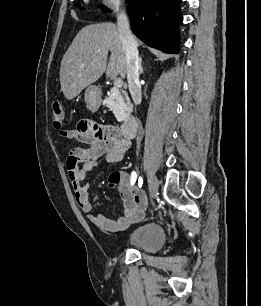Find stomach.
Masks as SVG:
<instances>
[{
    "label": "stomach",
    "mask_w": 261,
    "mask_h": 306,
    "mask_svg": "<svg viewBox=\"0 0 261 306\" xmlns=\"http://www.w3.org/2000/svg\"><path fill=\"white\" fill-rule=\"evenodd\" d=\"M85 102L87 105V108L95 112L99 109L101 105V96H100V90L97 86H89L85 90Z\"/></svg>",
    "instance_id": "obj_1"
}]
</instances>
